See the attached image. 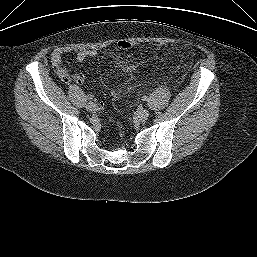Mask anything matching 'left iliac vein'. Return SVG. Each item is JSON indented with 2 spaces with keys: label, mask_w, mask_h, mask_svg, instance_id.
Segmentation results:
<instances>
[{
  "label": "left iliac vein",
  "mask_w": 257,
  "mask_h": 257,
  "mask_svg": "<svg viewBox=\"0 0 257 257\" xmlns=\"http://www.w3.org/2000/svg\"><path fill=\"white\" fill-rule=\"evenodd\" d=\"M150 113L147 109H140L136 113V117L139 121H145L148 119Z\"/></svg>",
  "instance_id": "1"
}]
</instances>
